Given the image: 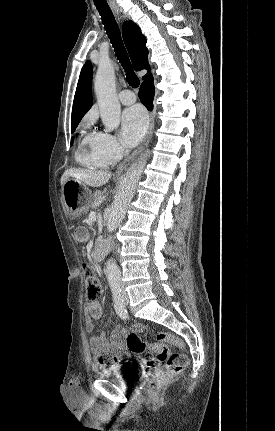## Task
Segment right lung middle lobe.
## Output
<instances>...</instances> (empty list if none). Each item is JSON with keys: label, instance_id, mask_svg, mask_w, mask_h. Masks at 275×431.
<instances>
[{"label": "right lung middle lobe", "instance_id": "obj_1", "mask_svg": "<svg viewBox=\"0 0 275 431\" xmlns=\"http://www.w3.org/2000/svg\"><path fill=\"white\" fill-rule=\"evenodd\" d=\"M76 127L77 126L71 128L72 129V133L75 131ZM72 144H73V139H71V144L70 145H72Z\"/></svg>", "mask_w": 275, "mask_h": 431}]
</instances>
